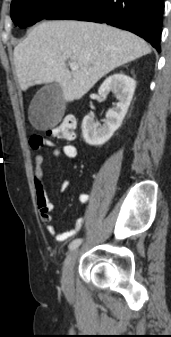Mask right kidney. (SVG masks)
<instances>
[{
	"label": "right kidney",
	"instance_id": "1",
	"mask_svg": "<svg viewBox=\"0 0 171 337\" xmlns=\"http://www.w3.org/2000/svg\"><path fill=\"white\" fill-rule=\"evenodd\" d=\"M136 83L124 73L109 76L100 86L98 93L101 97L112 92L116 95L118 103L106 114L101 125L95 122L94 116H85L82 122V135L89 145L99 146L106 143L121 126L134 95Z\"/></svg>",
	"mask_w": 171,
	"mask_h": 337
}]
</instances>
